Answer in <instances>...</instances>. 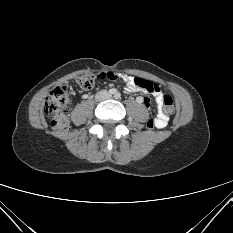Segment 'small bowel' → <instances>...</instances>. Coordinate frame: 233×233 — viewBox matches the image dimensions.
<instances>
[{"label": "small bowel", "instance_id": "c3829d8e", "mask_svg": "<svg viewBox=\"0 0 233 233\" xmlns=\"http://www.w3.org/2000/svg\"><path fill=\"white\" fill-rule=\"evenodd\" d=\"M96 78L99 81H109V80H116V81H122L125 83L126 88L128 91L135 92L138 90H142L135 84V77H132L129 73H122L118 71H107V72H99L96 75ZM144 91V90H142ZM146 92V91H144ZM156 97L157 102V116L155 118V127L158 129H162L167 126L169 117L164 112L162 105H163V94L161 91L154 94ZM137 102L140 104L145 105L146 107H149L150 100L148 98H144L142 96L137 97Z\"/></svg>", "mask_w": 233, "mask_h": 233}]
</instances>
